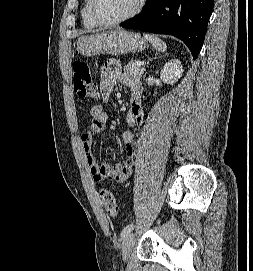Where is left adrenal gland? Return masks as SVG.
<instances>
[{"label": "left adrenal gland", "mask_w": 253, "mask_h": 271, "mask_svg": "<svg viewBox=\"0 0 253 271\" xmlns=\"http://www.w3.org/2000/svg\"><path fill=\"white\" fill-rule=\"evenodd\" d=\"M150 61H151V59H150ZM149 64V61L147 62V65Z\"/></svg>", "instance_id": "1"}]
</instances>
